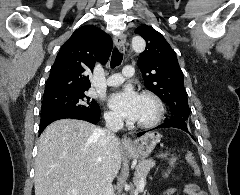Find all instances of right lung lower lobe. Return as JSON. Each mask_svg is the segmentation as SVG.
<instances>
[{"label": "right lung lower lobe", "instance_id": "1", "mask_svg": "<svg viewBox=\"0 0 240 195\" xmlns=\"http://www.w3.org/2000/svg\"><path fill=\"white\" fill-rule=\"evenodd\" d=\"M66 118L86 120V121H89V122L95 124L100 119V112H88V111L65 112V113L52 114V115L42 117L40 120L39 134H41V132L50 123H52L56 120H59V119H66Z\"/></svg>", "mask_w": 240, "mask_h": 195}]
</instances>
